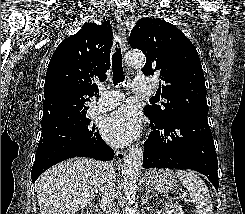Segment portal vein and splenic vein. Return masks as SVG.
Returning a JSON list of instances; mask_svg holds the SVG:
<instances>
[{"label": "portal vein and splenic vein", "instance_id": "portal-vein-and-splenic-vein-1", "mask_svg": "<svg viewBox=\"0 0 245 214\" xmlns=\"http://www.w3.org/2000/svg\"><path fill=\"white\" fill-rule=\"evenodd\" d=\"M181 198H182V200H184V201L188 200L187 194H186V193H184V194L181 196Z\"/></svg>", "mask_w": 245, "mask_h": 214}]
</instances>
